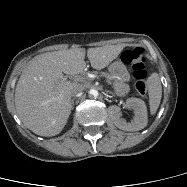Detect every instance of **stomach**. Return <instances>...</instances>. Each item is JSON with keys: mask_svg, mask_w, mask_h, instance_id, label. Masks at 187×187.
Instances as JSON below:
<instances>
[{"mask_svg": "<svg viewBox=\"0 0 187 187\" xmlns=\"http://www.w3.org/2000/svg\"><path fill=\"white\" fill-rule=\"evenodd\" d=\"M109 73L120 81H128L130 79V74L121 60L115 61L109 66Z\"/></svg>", "mask_w": 187, "mask_h": 187, "instance_id": "1", "label": "stomach"}]
</instances>
